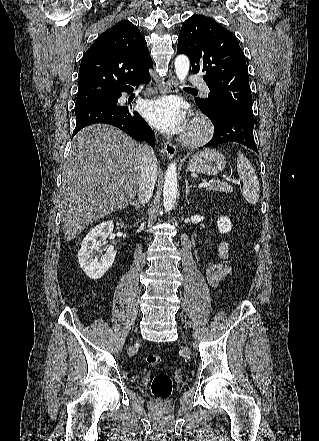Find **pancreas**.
<instances>
[{"mask_svg": "<svg viewBox=\"0 0 319 441\" xmlns=\"http://www.w3.org/2000/svg\"><path fill=\"white\" fill-rule=\"evenodd\" d=\"M207 190L212 191H219V192H225V193H232L233 189L232 187L226 183V182H212L210 186L207 187Z\"/></svg>", "mask_w": 319, "mask_h": 441, "instance_id": "1", "label": "pancreas"}]
</instances>
